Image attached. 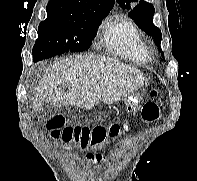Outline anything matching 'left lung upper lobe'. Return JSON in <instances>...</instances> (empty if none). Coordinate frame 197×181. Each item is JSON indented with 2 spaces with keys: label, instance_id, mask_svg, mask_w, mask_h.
I'll list each match as a JSON object with an SVG mask.
<instances>
[{
  "label": "left lung upper lobe",
  "instance_id": "obj_1",
  "mask_svg": "<svg viewBox=\"0 0 197 181\" xmlns=\"http://www.w3.org/2000/svg\"><path fill=\"white\" fill-rule=\"evenodd\" d=\"M119 6L124 10H129L128 16L148 35L154 37L155 43L159 49L162 39L161 30L153 24L155 8L152 4L141 0L135 7L131 3L138 0H116Z\"/></svg>",
  "mask_w": 197,
  "mask_h": 181
}]
</instances>
